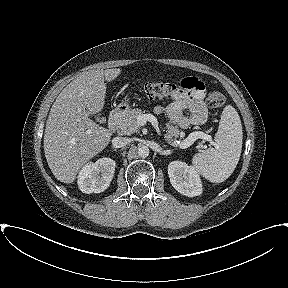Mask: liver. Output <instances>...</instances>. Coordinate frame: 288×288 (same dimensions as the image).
Listing matches in <instances>:
<instances>
[{
  "mask_svg": "<svg viewBox=\"0 0 288 288\" xmlns=\"http://www.w3.org/2000/svg\"><path fill=\"white\" fill-rule=\"evenodd\" d=\"M119 68L92 70L70 82L53 103L44 133V153L53 175L74 182L80 169L110 142L112 132L89 118L105 104L106 83Z\"/></svg>",
  "mask_w": 288,
  "mask_h": 288,
  "instance_id": "obj_1",
  "label": "liver"
}]
</instances>
